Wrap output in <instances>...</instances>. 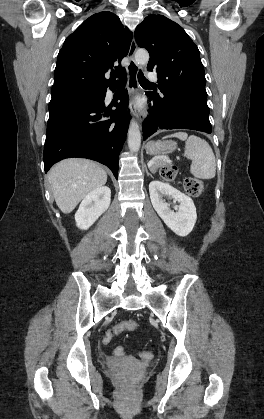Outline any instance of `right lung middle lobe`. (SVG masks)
Segmentation results:
<instances>
[{"label":"right lung middle lobe","mask_w":264,"mask_h":419,"mask_svg":"<svg viewBox=\"0 0 264 419\" xmlns=\"http://www.w3.org/2000/svg\"><path fill=\"white\" fill-rule=\"evenodd\" d=\"M97 91H87V92H74V93H68L60 98H69V97H75L80 95H89V94H95Z\"/></svg>","instance_id":"1"}]
</instances>
